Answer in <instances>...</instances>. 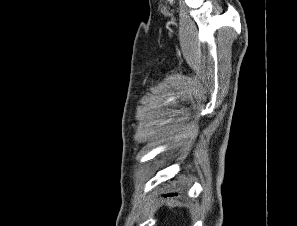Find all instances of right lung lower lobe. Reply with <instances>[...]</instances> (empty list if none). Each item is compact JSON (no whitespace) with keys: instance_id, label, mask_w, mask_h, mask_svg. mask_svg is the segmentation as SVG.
I'll list each match as a JSON object with an SVG mask.
<instances>
[{"instance_id":"right-lung-lower-lobe-1","label":"right lung lower lobe","mask_w":297,"mask_h":226,"mask_svg":"<svg viewBox=\"0 0 297 226\" xmlns=\"http://www.w3.org/2000/svg\"><path fill=\"white\" fill-rule=\"evenodd\" d=\"M172 195H174V194H169V196H172Z\"/></svg>"}]
</instances>
